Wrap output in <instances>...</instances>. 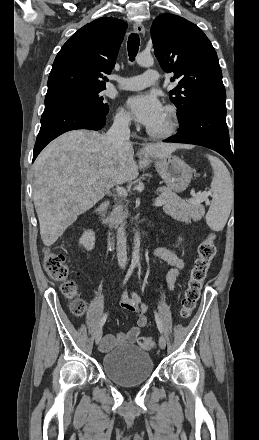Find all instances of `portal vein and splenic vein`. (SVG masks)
Instances as JSON below:
<instances>
[{
	"instance_id": "18ae733b",
	"label": "portal vein and splenic vein",
	"mask_w": 259,
	"mask_h": 440,
	"mask_svg": "<svg viewBox=\"0 0 259 440\" xmlns=\"http://www.w3.org/2000/svg\"><path fill=\"white\" fill-rule=\"evenodd\" d=\"M116 190L120 195L127 196V191L123 187L117 186ZM208 196H209V193L203 192V193L197 195L196 197L189 199V201L193 202V203H195V202L201 203L203 201H207ZM164 203H165L164 200L156 199L154 202V206L160 207V206L164 205Z\"/></svg>"
}]
</instances>
